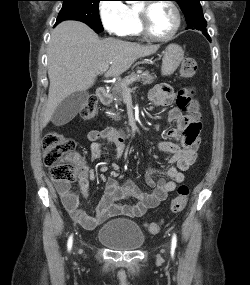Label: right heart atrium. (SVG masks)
Segmentation results:
<instances>
[{"instance_id": "obj_1", "label": "right heart atrium", "mask_w": 250, "mask_h": 285, "mask_svg": "<svg viewBox=\"0 0 250 285\" xmlns=\"http://www.w3.org/2000/svg\"><path fill=\"white\" fill-rule=\"evenodd\" d=\"M103 27L111 34L124 35L130 22L129 7L122 0H104L99 5Z\"/></svg>"}]
</instances>
